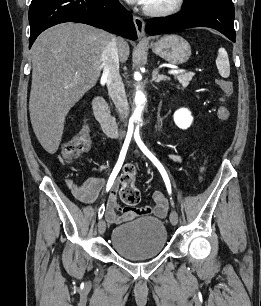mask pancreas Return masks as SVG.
Returning a JSON list of instances; mask_svg holds the SVG:
<instances>
[{"mask_svg": "<svg viewBox=\"0 0 261 306\" xmlns=\"http://www.w3.org/2000/svg\"><path fill=\"white\" fill-rule=\"evenodd\" d=\"M194 75L195 74L193 72H188V73H184V74H178V75H176L175 78L179 81V83L183 87H187Z\"/></svg>", "mask_w": 261, "mask_h": 306, "instance_id": "cf45deb5", "label": "pancreas"}]
</instances>
